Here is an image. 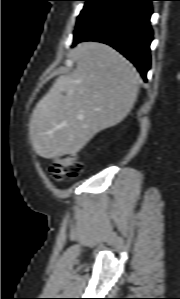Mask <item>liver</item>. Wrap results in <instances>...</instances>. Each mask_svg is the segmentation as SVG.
<instances>
[{
	"label": "liver",
	"instance_id": "liver-1",
	"mask_svg": "<svg viewBox=\"0 0 180 299\" xmlns=\"http://www.w3.org/2000/svg\"><path fill=\"white\" fill-rule=\"evenodd\" d=\"M75 50V70L58 77L31 114V143L46 159L81 151L98 132L120 123L139 93V74L113 48L85 42Z\"/></svg>",
	"mask_w": 180,
	"mask_h": 299
}]
</instances>
